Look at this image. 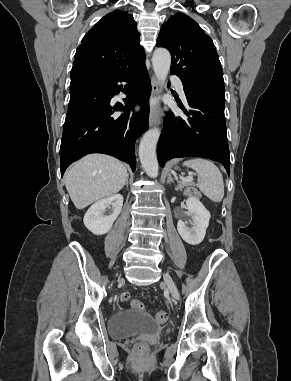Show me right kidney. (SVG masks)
Masks as SVG:
<instances>
[{
  "label": "right kidney",
  "mask_w": 291,
  "mask_h": 381,
  "mask_svg": "<svg viewBox=\"0 0 291 381\" xmlns=\"http://www.w3.org/2000/svg\"><path fill=\"white\" fill-rule=\"evenodd\" d=\"M123 206V196L114 194L95 202L86 212L83 222L85 227L95 235L106 234L117 219ZM112 207L113 212L104 215L107 208Z\"/></svg>",
  "instance_id": "obj_1"
}]
</instances>
